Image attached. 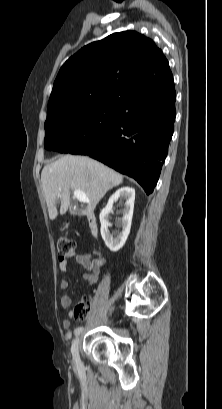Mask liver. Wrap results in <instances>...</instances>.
Here are the masks:
<instances>
[{"label": "liver", "mask_w": 222, "mask_h": 409, "mask_svg": "<svg viewBox=\"0 0 222 409\" xmlns=\"http://www.w3.org/2000/svg\"><path fill=\"white\" fill-rule=\"evenodd\" d=\"M122 182L121 174L85 156L65 155L44 166L41 173L42 189L51 220L58 215V200L61 201L60 214L67 212L70 190H79L87 195L90 202L85 213L91 215L104 195Z\"/></svg>", "instance_id": "1"}]
</instances>
